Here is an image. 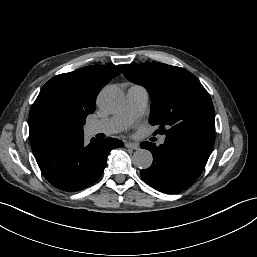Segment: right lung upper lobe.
Returning a JSON list of instances; mask_svg holds the SVG:
<instances>
[{"label": "right lung upper lobe", "mask_w": 257, "mask_h": 257, "mask_svg": "<svg viewBox=\"0 0 257 257\" xmlns=\"http://www.w3.org/2000/svg\"><path fill=\"white\" fill-rule=\"evenodd\" d=\"M120 73L121 67L92 65L50 79L41 89L30 111L32 150L36 151L55 139L66 136L64 132L45 122L44 114L51 105H67L87 116L96 109L99 89Z\"/></svg>", "instance_id": "1"}]
</instances>
